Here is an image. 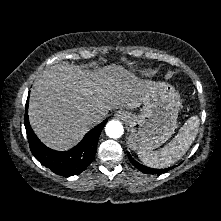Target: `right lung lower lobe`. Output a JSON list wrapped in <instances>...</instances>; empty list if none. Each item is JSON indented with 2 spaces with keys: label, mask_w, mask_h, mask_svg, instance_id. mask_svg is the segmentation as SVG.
Listing matches in <instances>:
<instances>
[{
  "label": "right lung lower lobe",
  "mask_w": 221,
  "mask_h": 221,
  "mask_svg": "<svg viewBox=\"0 0 221 221\" xmlns=\"http://www.w3.org/2000/svg\"><path fill=\"white\" fill-rule=\"evenodd\" d=\"M25 128L29 147L34 157L45 167L61 176H73L83 172L93 161L98 139L106 120L90 130L73 149L55 151L45 146L35 135L28 119V100L25 110Z\"/></svg>",
  "instance_id": "right-lung-lower-lobe-1"
}]
</instances>
